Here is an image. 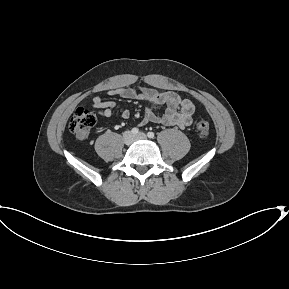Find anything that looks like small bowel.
Wrapping results in <instances>:
<instances>
[{"mask_svg": "<svg viewBox=\"0 0 289 289\" xmlns=\"http://www.w3.org/2000/svg\"><path fill=\"white\" fill-rule=\"evenodd\" d=\"M110 96L122 99H139L147 103L145 117L141 124L148 122L164 124L168 126L187 127L192 124L195 112L194 104L188 99H182L177 93L168 91L160 92L151 88H130L122 87L108 91ZM158 105H165L162 115H156L153 108ZM92 107L105 118L113 116V109L116 103L111 100H104L101 96H95L92 100ZM120 116L124 119L129 118L128 110H123Z\"/></svg>", "mask_w": 289, "mask_h": 289, "instance_id": "obj_1", "label": "small bowel"}]
</instances>
